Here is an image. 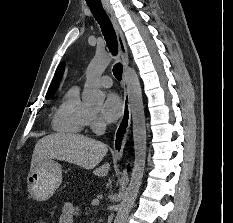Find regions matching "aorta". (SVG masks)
Masks as SVG:
<instances>
[{"label": "aorta", "instance_id": "obj_1", "mask_svg": "<svg viewBox=\"0 0 233 223\" xmlns=\"http://www.w3.org/2000/svg\"><path fill=\"white\" fill-rule=\"evenodd\" d=\"M111 58H94L86 70V82L82 100L89 106H102L105 100V92H102L99 84V78L104 70L109 66ZM128 82L130 86V104L133 121V137L135 159L130 177V183L126 187L125 195L122 201V213H125L129 207H132L136 195L141 185L145 159H146V127L142 92L138 76L133 68H128Z\"/></svg>", "mask_w": 233, "mask_h": 223}]
</instances>
